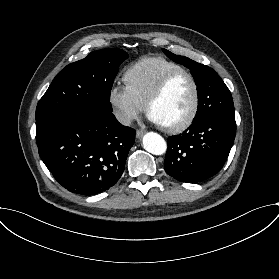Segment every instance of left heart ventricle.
Segmentation results:
<instances>
[{
	"label": "left heart ventricle",
	"mask_w": 279,
	"mask_h": 279,
	"mask_svg": "<svg viewBox=\"0 0 279 279\" xmlns=\"http://www.w3.org/2000/svg\"><path fill=\"white\" fill-rule=\"evenodd\" d=\"M194 93L191 80L186 75H182L176 78L153 104L150 114L157 117L162 125L178 124L190 113L194 102Z\"/></svg>",
	"instance_id": "obj_1"
}]
</instances>
